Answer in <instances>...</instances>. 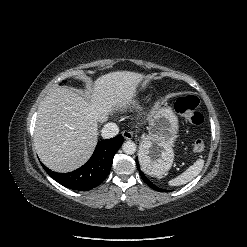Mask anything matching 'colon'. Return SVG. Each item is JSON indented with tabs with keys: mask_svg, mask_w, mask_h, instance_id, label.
I'll return each instance as SVG.
<instances>
[{
	"mask_svg": "<svg viewBox=\"0 0 247 247\" xmlns=\"http://www.w3.org/2000/svg\"><path fill=\"white\" fill-rule=\"evenodd\" d=\"M176 111L193 125L203 122V115L199 111V99L194 95L179 98L175 103ZM205 142L197 139L193 144V150L197 153L204 151Z\"/></svg>",
	"mask_w": 247,
	"mask_h": 247,
	"instance_id": "colon-1",
	"label": "colon"
}]
</instances>
